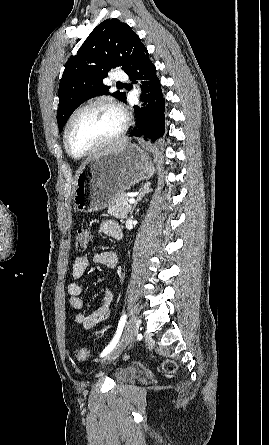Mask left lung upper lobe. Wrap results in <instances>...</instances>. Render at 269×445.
I'll return each mask as SVG.
<instances>
[{
  "label": "left lung upper lobe",
  "mask_w": 269,
  "mask_h": 445,
  "mask_svg": "<svg viewBox=\"0 0 269 445\" xmlns=\"http://www.w3.org/2000/svg\"><path fill=\"white\" fill-rule=\"evenodd\" d=\"M146 50L131 27L116 18L96 26L77 54L65 65L58 91L59 132L80 104L96 95L108 93L110 86L103 83L108 71L121 67L129 72ZM113 95L124 98L126 94L116 91Z\"/></svg>",
  "instance_id": "obj_1"
}]
</instances>
